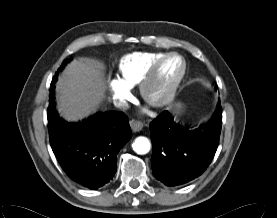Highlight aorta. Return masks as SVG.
Segmentation results:
<instances>
[{"label":"aorta","mask_w":277,"mask_h":218,"mask_svg":"<svg viewBox=\"0 0 277 218\" xmlns=\"http://www.w3.org/2000/svg\"><path fill=\"white\" fill-rule=\"evenodd\" d=\"M132 148L137 154L144 155L150 151L151 143L148 138L140 136L134 140Z\"/></svg>","instance_id":"obj_1"}]
</instances>
